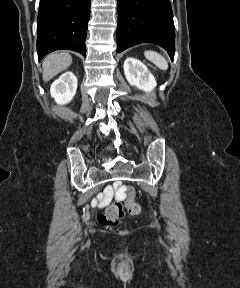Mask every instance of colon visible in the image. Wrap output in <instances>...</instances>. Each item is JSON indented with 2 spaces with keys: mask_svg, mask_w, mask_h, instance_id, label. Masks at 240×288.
<instances>
[{
  "mask_svg": "<svg viewBox=\"0 0 240 288\" xmlns=\"http://www.w3.org/2000/svg\"><path fill=\"white\" fill-rule=\"evenodd\" d=\"M127 193L126 208L130 214L136 215L140 211V206L135 201V189L125 186ZM124 217V204L122 202H113L106 207L104 212L98 216V221L105 226H113L119 223Z\"/></svg>",
  "mask_w": 240,
  "mask_h": 288,
  "instance_id": "colon-1",
  "label": "colon"
}]
</instances>
